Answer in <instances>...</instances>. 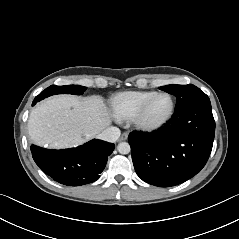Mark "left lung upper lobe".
I'll list each match as a JSON object with an SVG mask.
<instances>
[{"label":"left lung upper lobe","mask_w":239,"mask_h":239,"mask_svg":"<svg viewBox=\"0 0 239 239\" xmlns=\"http://www.w3.org/2000/svg\"><path fill=\"white\" fill-rule=\"evenodd\" d=\"M160 89L176 96L177 102H176L175 109L180 108L192 101L208 97L198 87L192 84L167 85V86L160 87Z\"/></svg>","instance_id":"1"}]
</instances>
